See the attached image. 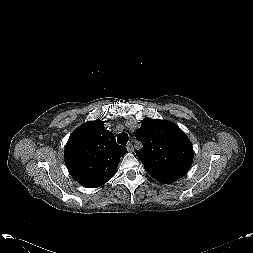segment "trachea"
Instances as JSON below:
<instances>
[{
	"instance_id": "3493384b",
	"label": "trachea",
	"mask_w": 253,
	"mask_h": 253,
	"mask_svg": "<svg viewBox=\"0 0 253 253\" xmlns=\"http://www.w3.org/2000/svg\"><path fill=\"white\" fill-rule=\"evenodd\" d=\"M129 140L128 134L126 133H119L117 136V142L121 145L127 144Z\"/></svg>"
}]
</instances>
